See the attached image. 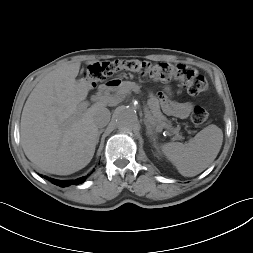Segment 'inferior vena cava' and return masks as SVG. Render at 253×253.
Wrapping results in <instances>:
<instances>
[{"mask_svg": "<svg viewBox=\"0 0 253 253\" xmlns=\"http://www.w3.org/2000/svg\"><path fill=\"white\" fill-rule=\"evenodd\" d=\"M110 111L107 108L101 109L94 117V121L99 128L105 127L110 121Z\"/></svg>", "mask_w": 253, "mask_h": 253, "instance_id": "inferior-vena-cava-1", "label": "inferior vena cava"}]
</instances>
